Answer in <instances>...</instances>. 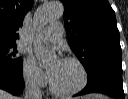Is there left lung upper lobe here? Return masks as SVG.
I'll return each mask as SVG.
<instances>
[{
  "label": "left lung upper lobe",
  "instance_id": "left-lung-upper-lobe-1",
  "mask_svg": "<svg viewBox=\"0 0 128 99\" xmlns=\"http://www.w3.org/2000/svg\"><path fill=\"white\" fill-rule=\"evenodd\" d=\"M68 44L87 70L101 58L121 59L115 12L107 0H61Z\"/></svg>",
  "mask_w": 128,
  "mask_h": 99
}]
</instances>
